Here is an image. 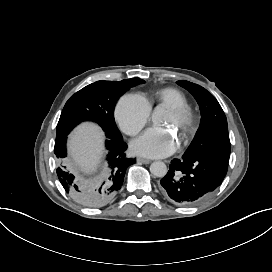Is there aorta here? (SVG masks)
I'll return each mask as SVG.
<instances>
[{
	"instance_id": "762f6f07",
	"label": "aorta",
	"mask_w": 272,
	"mask_h": 272,
	"mask_svg": "<svg viewBox=\"0 0 272 272\" xmlns=\"http://www.w3.org/2000/svg\"><path fill=\"white\" fill-rule=\"evenodd\" d=\"M167 113V108L163 104H159L155 106V108L152 111V121L155 124H159L163 121V117ZM150 172L159 178L164 177L167 174V167L164 162H153L150 165Z\"/></svg>"
}]
</instances>
